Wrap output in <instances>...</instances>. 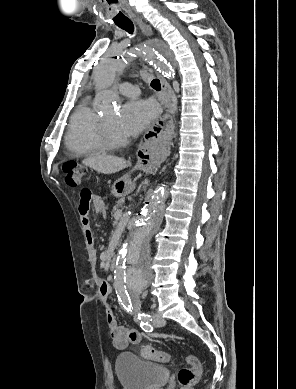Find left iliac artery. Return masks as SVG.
Segmentation results:
<instances>
[{"instance_id":"left-iliac-artery-1","label":"left iliac artery","mask_w":296,"mask_h":389,"mask_svg":"<svg viewBox=\"0 0 296 389\" xmlns=\"http://www.w3.org/2000/svg\"><path fill=\"white\" fill-rule=\"evenodd\" d=\"M126 294L128 296L127 292H126ZM128 299H129V297H128ZM129 302H130V299H129ZM127 310L133 314H136L137 319L140 322V326L145 332H151L153 330L152 326L150 325V322H152V318L149 314L141 313L140 308H138V307H131V302H130L129 309H127Z\"/></svg>"}]
</instances>
